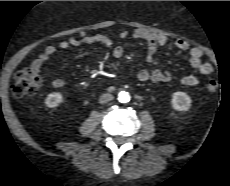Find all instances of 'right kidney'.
Here are the masks:
<instances>
[{
	"mask_svg": "<svg viewBox=\"0 0 230 186\" xmlns=\"http://www.w3.org/2000/svg\"><path fill=\"white\" fill-rule=\"evenodd\" d=\"M63 100L62 94L55 92L49 94L45 99V104L49 108L57 107Z\"/></svg>",
	"mask_w": 230,
	"mask_h": 186,
	"instance_id": "1",
	"label": "right kidney"
}]
</instances>
